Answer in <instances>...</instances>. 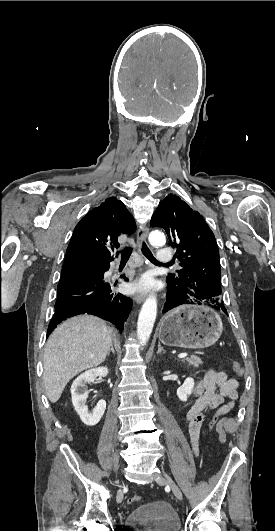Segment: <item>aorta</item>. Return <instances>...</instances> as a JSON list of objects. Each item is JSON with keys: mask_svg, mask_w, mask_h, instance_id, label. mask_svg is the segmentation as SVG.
I'll return each mask as SVG.
<instances>
[{"mask_svg": "<svg viewBox=\"0 0 275 531\" xmlns=\"http://www.w3.org/2000/svg\"><path fill=\"white\" fill-rule=\"evenodd\" d=\"M149 241L151 245H163V243H165V237L162 235V233H160V231H153V233H150ZM156 315V297H154V295H150V297L144 301V305H142V309L138 317L137 339L141 345H146V343H148L152 329L154 327Z\"/></svg>", "mask_w": 275, "mask_h": 531, "instance_id": "aorta-1", "label": "aorta"}]
</instances>
